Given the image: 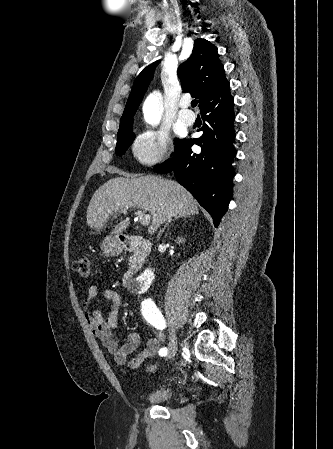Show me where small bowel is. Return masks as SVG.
<instances>
[{"instance_id":"c3829d8e","label":"small bowel","mask_w":333,"mask_h":449,"mask_svg":"<svg viewBox=\"0 0 333 449\" xmlns=\"http://www.w3.org/2000/svg\"><path fill=\"white\" fill-rule=\"evenodd\" d=\"M98 299L99 289L96 286H90L81 304L92 334L100 340L117 365L137 369L158 350L159 340L149 338L140 352L128 360V356L139 348L141 337L137 333H130L122 339L116 336L122 302L115 290L106 289L102 292V299L108 302L105 312L93 307Z\"/></svg>"}]
</instances>
